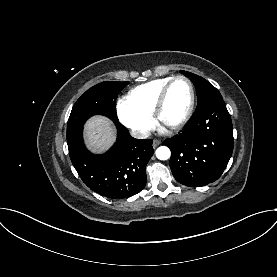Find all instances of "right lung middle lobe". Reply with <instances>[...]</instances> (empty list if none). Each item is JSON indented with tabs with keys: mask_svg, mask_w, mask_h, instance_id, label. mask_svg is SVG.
<instances>
[{
	"mask_svg": "<svg viewBox=\"0 0 277 277\" xmlns=\"http://www.w3.org/2000/svg\"><path fill=\"white\" fill-rule=\"evenodd\" d=\"M129 82H102L88 89L74 104L67 124V138L83 128L93 115H104L118 122L116 99Z\"/></svg>",
	"mask_w": 277,
	"mask_h": 277,
	"instance_id": "dd1d6c3e",
	"label": "right lung middle lobe"
}]
</instances>
